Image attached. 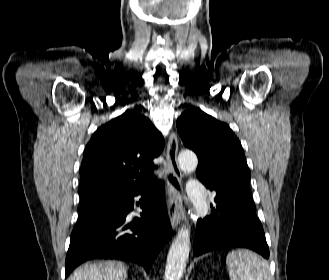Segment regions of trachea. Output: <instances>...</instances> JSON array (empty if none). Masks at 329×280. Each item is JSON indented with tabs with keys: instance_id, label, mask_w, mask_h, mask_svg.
<instances>
[{
	"instance_id": "obj_1",
	"label": "trachea",
	"mask_w": 329,
	"mask_h": 280,
	"mask_svg": "<svg viewBox=\"0 0 329 280\" xmlns=\"http://www.w3.org/2000/svg\"><path fill=\"white\" fill-rule=\"evenodd\" d=\"M169 180H170V182L172 183V185H173L177 190L180 189L179 184H178V181L176 180V178H174L172 175H170V176H169Z\"/></svg>"
}]
</instances>
